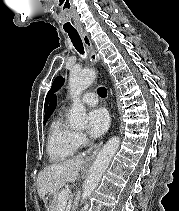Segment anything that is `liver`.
Returning <instances> with one entry per match:
<instances>
[{"label": "liver", "instance_id": "liver-1", "mask_svg": "<svg viewBox=\"0 0 179 211\" xmlns=\"http://www.w3.org/2000/svg\"><path fill=\"white\" fill-rule=\"evenodd\" d=\"M85 159L77 156L62 163L45 167L37 178L39 197L47 203L49 195H54L66 183H74L84 169Z\"/></svg>", "mask_w": 179, "mask_h": 211}]
</instances>
